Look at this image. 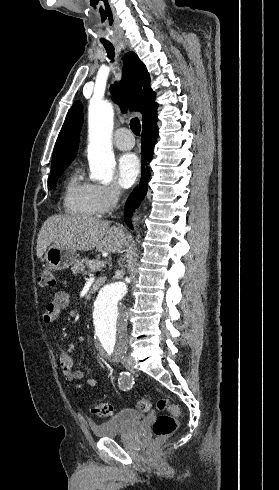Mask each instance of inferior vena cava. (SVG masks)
I'll list each match as a JSON object with an SVG mask.
<instances>
[{"label":"inferior vena cava","mask_w":279,"mask_h":490,"mask_svg":"<svg viewBox=\"0 0 279 490\" xmlns=\"http://www.w3.org/2000/svg\"><path fill=\"white\" fill-rule=\"evenodd\" d=\"M117 194H121V192H120L119 188H118V190H117Z\"/></svg>","instance_id":"inferior-vena-cava-1"}]
</instances>
